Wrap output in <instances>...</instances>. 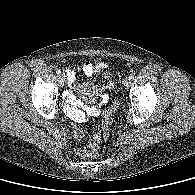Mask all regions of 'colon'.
I'll use <instances>...</instances> for the list:
<instances>
[{"instance_id": "1", "label": "colon", "mask_w": 195, "mask_h": 195, "mask_svg": "<svg viewBox=\"0 0 195 195\" xmlns=\"http://www.w3.org/2000/svg\"><path fill=\"white\" fill-rule=\"evenodd\" d=\"M118 101L116 100L108 111L105 113L102 122V133H95L88 141L85 147L79 149V153L81 156L86 158H94L97 155V147L101 141L102 136H106L108 134L110 125L112 123V115L118 108ZM75 136L77 139H82L84 137V132L82 129L76 128Z\"/></svg>"}]
</instances>
